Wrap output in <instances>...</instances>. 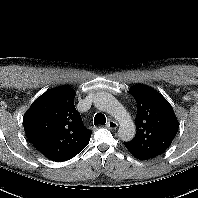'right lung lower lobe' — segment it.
Segmentation results:
<instances>
[{"mask_svg": "<svg viewBox=\"0 0 198 198\" xmlns=\"http://www.w3.org/2000/svg\"><path fill=\"white\" fill-rule=\"evenodd\" d=\"M86 147V146H85ZM85 147L72 151V152H68V153H63L60 155H56V156H49L47 157L48 159L52 160V161H57V162H62V161H66L69 160L71 158H73L74 156H76L80 151H82Z\"/></svg>", "mask_w": 198, "mask_h": 198, "instance_id": "right-lung-lower-lobe-1", "label": "right lung lower lobe"}]
</instances>
